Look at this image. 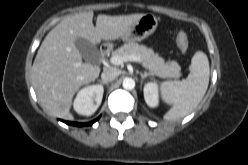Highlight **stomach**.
<instances>
[{"mask_svg": "<svg viewBox=\"0 0 248 165\" xmlns=\"http://www.w3.org/2000/svg\"><path fill=\"white\" fill-rule=\"evenodd\" d=\"M158 20L153 14H144L121 38L127 42L142 41L157 28Z\"/></svg>", "mask_w": 248, "mask_h": 165, "instance_id": "0dacf381", "label": "stomach"}]
</instances>
